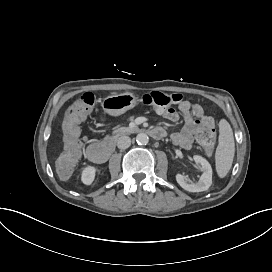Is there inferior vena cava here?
I'll return each mask as SVG.
<instances>
[{"mask_svg":"<svg viewBox=\"0 0 272 272\" xmlns=\"http://www.w3.org/2000/svg\"><path fill=\"white\" fill-rule=\"evenodd\" d=\"M118 148L126 149L131 145V138L129 136H121L117 141Z\"/></svg>","mask_w":272,"mask_h":272,"instance_id":"1","label":"inferior vena cava"}]
</instances>
